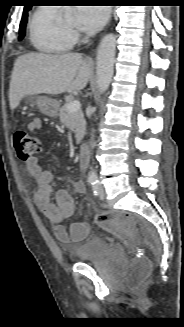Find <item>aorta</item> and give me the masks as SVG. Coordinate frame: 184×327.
Segmentation results:
<instances>
[{
	"mask_svg": "<svg viewBox=\"0 0 184 327\" xmlns=\"http://www.w3.org/2000/svg\"><path fill=\"white\" fill-rule=\"evenodd\" d=\"M116 51V35L110 33L105 35L97 49V87L101 94L105 93L112 81L114 73ZM90 176L96 177L91 171Z\"/></svg>",
	"mask_w": 184,
	"mask_h": 327,
	"instance_id": "aorta-1",
	"label": "aorta"
}]
</instances>
